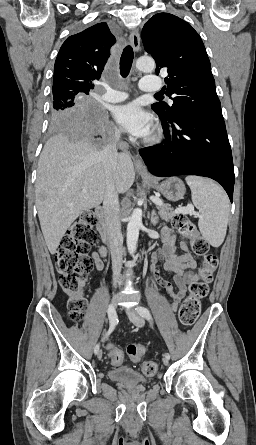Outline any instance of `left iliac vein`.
<instances>
[{"instance_id":"1","label":"left iliac vein","mask_w":256,"mask_h":445,"mask_svg":"<svg viewBox=\"0 0 256 445\" xmlns=\"http://www.w3.org/2000/svg\"><path fill=\"white\" fill-rule=\"evenodd\" d=\"M127 316L130 319V321L137 327H143L144 326V318L139 314L137 309H127L126 310ZM164 365L169 364V359L167 357H163L162 359Z\"/></svg>"}]
</instances>
